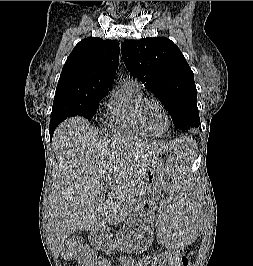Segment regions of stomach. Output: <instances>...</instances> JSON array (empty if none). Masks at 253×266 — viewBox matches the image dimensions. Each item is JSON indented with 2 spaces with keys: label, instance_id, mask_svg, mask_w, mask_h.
Listing matches in <instances>:
<instances>
[{
  "label": "stomach",
  "instance_id": "stomach-1",
  "mask_svg": "<svg viewBox=\"0 0 253 266\" xmlns=\"http://www.w3.org/2000/svg\"><path fill=\"white\" fill-rule=\"evenodd\" d=\"M164 170L159 158L150 165L142 180L136 209L114 237L105 235L95 244L98 249L105 252L116 249L127 254H141L151 246L155 219L153 197L161 188Z\"/></svg>",
  "mask_w": 253,
  "mask_h": 266
}]
</instances>
